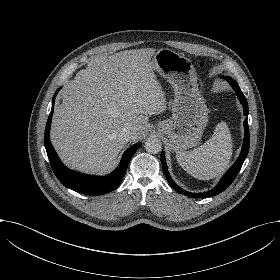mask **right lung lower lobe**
<instances>
[{"label":"right lung lower lobe","instance_id":"right-lung-lower-lobe-1","mask_svg":"<svg viewBox=\"0 0 280 280\" xmlns=\"http://www.w3.org/2000/svg\"><path fill=\"white\" fill-rule=\"evenodd\" d=\"M58 91L59 89L55 92L52 99V109L47 120L44 136L45 148L54 174L64 186L85 195L98 196L111 192L121 183L128 163L137 149L141 146V143H137L126 150L119 166L107 176L100 177L86 175L68 169L60 161L50 141V126L54 110V100Z\"/></svg>","mask_w":280,"mask_h":280}]
</instances>
